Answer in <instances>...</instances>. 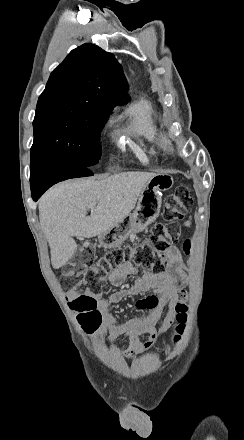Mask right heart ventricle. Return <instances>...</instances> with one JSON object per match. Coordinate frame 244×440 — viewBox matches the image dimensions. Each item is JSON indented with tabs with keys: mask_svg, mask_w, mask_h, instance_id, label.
<instances>
[{
	"mask_svg": "<svg viewBox=\"0 0 244 440\" xmlns=\"http://www.w3.org/2000/svg\"><path fill=\"white\" fill-rule=\"evenodd\" d=\"M116 122L119 126H125L123 133L126 136L137 134L154 144L161 142L159 133L152 119V106L147 100H140L129 105L126 110L118 116Z\"/></svg>",
	"mask_w": 244,
	"mask_h": 440,
	"instance_id": "e07e8e85",
	"label": "right heart ventricle"
}]
</instances>
